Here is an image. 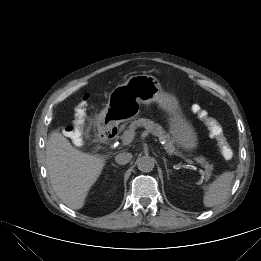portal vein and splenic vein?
<instances>
[{"label":"portal vein and splenic vein","mask_w":261,"mask_h":261,"mask_svg":"<svg viewBox=\"0 0 261 261\" xmlns=\"http://www.w3.org/2000/svg\"><path fill=\"white\" fill-rule=\"evenodd\" d=\"M135 136H136V133H135L134 131H128V132H126L125 135H124V137H123V141H122V142H123V145H128V144H130V143L133 141V139L135 138ZM183 160H184L185 162H187V163H189V164H191V165H193V166H195V167L198 168V164L195 163L193 160L186 159V158H183ZM200 172H202V169H200Z\"/></svg>","instance_id":"1"}]
</instances>
